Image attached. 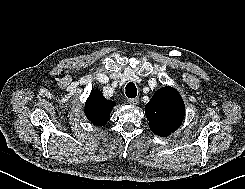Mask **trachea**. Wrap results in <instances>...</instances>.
<instances>
[{
    "label": "trachea",
    "instance_id": "trachea-1",
    "mask_svg": "<svg viewBox=\"0 0 245 189\" xmlns=\"http://www.w3.org/2000/svg\"><path fill=\"white\" fill-rule=\"evenodd\" d=\"M126 96L133 99L137 96V88L134 83L130 82L126 86Z\"/></svg>",
    "mask_w": 245,
    "mask_h": 189
}]
</instances>
